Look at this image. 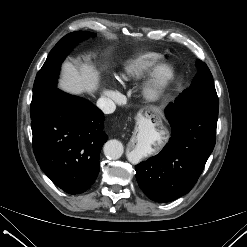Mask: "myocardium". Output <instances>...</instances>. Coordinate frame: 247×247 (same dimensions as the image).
Wrapping results in <instances>:
<instances>
[{
    "label": "myocardium",
    "mask_w": 247,
    "mask_h": 247,
    "mask_svg": "<svg viewBox=\"0 0 247 247\" xmlns=\"http://www.w3.org/2000/svg\"><path fill=\"white\" fill-rule=\"evenodd\" d=\"M174 66L168 61H162L155 65L149 78L144 84L143 93L150 101L160 99L174 76Z\"/></svg>",
    "instance_id": "f54148a6"
}]
</instances>
